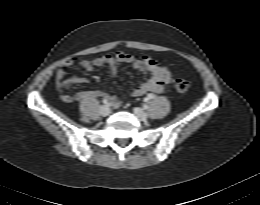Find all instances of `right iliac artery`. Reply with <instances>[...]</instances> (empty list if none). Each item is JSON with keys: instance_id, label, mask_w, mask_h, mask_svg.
<instances>
[{"instance_id": "1", "label": "right iliac artery", "mask_w": 260, "mask_h": 205, "mask_svg": "<svg viewBox=\"0 0 260 205\" xmlns=\"http://www.w3.org/2000/svg\"><path fill=\"white\" fill-rule=\"evenodd\" d=\"M102 103H103V104H108V100H107V99H103V100H102Z\"/></svg>"}]
</instances>
